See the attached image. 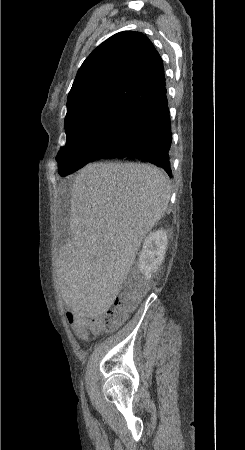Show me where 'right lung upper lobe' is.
I'll return each mask as SVG.
<instances>
[{
	"mask_svg": "<svg viewBox=\"0 0 245 450\" xmlns=\"http://www.w3.org/2000/svg\"><path fill=\"white\" fill-rule=\"evenodd\" d=\"M165 91L163 62L151 41L140 32H120L81 65L68 94L66 118L102 103L138 111Z\"/></svg>",
	"mask_w": 245,
	"mask_h": 450,
	"instance_id": "cb5924a9",
	"label": "right lung upper lobe"
}]
</instances>
